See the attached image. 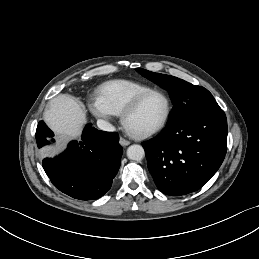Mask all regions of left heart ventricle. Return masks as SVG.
Listing matches in <instances>:
<instances>
[{"label":"left heart ventricle","mask_w":259,"mask_h":259,"mask_svg":"<svg viewBox=\"0 0 259 259\" xmlns=\"http://www.w3.org/2000/svg\"><path fill=\"white\" fill-rule=\"evenodd\" d=\"M166 112V100L161 94L148 96L126 120V127L135 133H143L156 127Z\"/></svg>","instance_id":"obj_1"}]
</instances>
